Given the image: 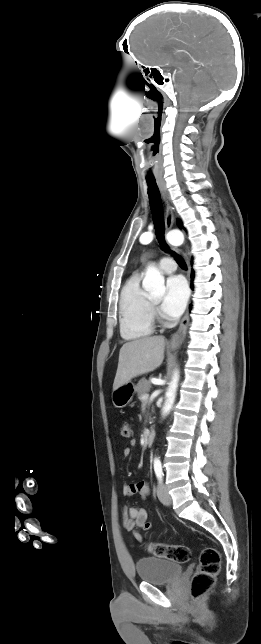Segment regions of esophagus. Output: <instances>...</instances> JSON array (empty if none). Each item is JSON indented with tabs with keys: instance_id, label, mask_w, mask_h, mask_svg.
I'll return each instance as SVG.
<instances>
[{
	"instance_id": "34e87169",
	"label": "esophagus",
	"mask_w": 261,
	"mask_h": 644,
	"mask_svg": "<svg viewBox=\"0 0 261 644\" xmlns=\"http://www.w3.org/2000/svg\"><path fill=\"white\" fill-rule=\"evenodd\" d=\"M158 186H159L162 198H163V200L165 202V205H166L165 227H166V232H168L171 229L172 225H173V220H174L173 207H172V205L170 203V200H169L166 188L164 186V183L163 182H158ZM173 249L179 255H181L184 258V260H185V262H186V264L188 266V272L190 273V262H189V258L187 256V254L184 251H182L181 249H179V248L173 247ZM188 324H189V312H188V309H187V311L185 312V315L183 316V318L181 320V323H180V326H179L178 330L172 335V337L170 339L169 344L171 346H179V345H181L183 343V341H184V339L186 337Z\"/></svg>"
}]
</instances>
